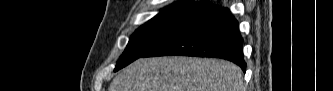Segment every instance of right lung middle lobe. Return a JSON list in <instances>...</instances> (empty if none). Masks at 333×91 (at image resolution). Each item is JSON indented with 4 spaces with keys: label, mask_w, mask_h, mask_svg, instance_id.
I'll return each mask as SVG.
<instances>
[{
    "label": "right lung middle lobe",
    "mask_w": 333,
    "mask_h": 91,
    "mask_svg": "<svg viewBox=\"0 0 333 91\" xmlns=\"http://www.w3.org/2000/svg\"><path fill=\"white\" fill-rule=\"evenodd\" d=\"M212 6L210 3H202L204 11ZM189 20L181 18H153L139 27L129 40V43L117 62L115 71L127 66L134 60L142 57L149 50L158 46L169 38Z\"/></svg>",
    "instance_id": "obj_1"
}]
</instances>
